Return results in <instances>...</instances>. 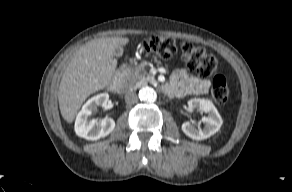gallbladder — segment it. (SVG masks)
Returning <instances> with one entry per match:
<instances>
[{
  "label": "gallbladder",
  "instance_id": "obj_1",
  "mask_svg": "<svg viewBox=\"0 0 292 192\" xmlns=\"http://www.w3.org/2000/svg\"><path fill=\"white\" fill-rule=\"evenodd\" d=\"M113 55L116 56V57H120L123 55V48L122 46H118L114 49L113 51Z\"/></svg>",
  "mask_w": 292,
  "mask_h": 192
}]
</instances>
